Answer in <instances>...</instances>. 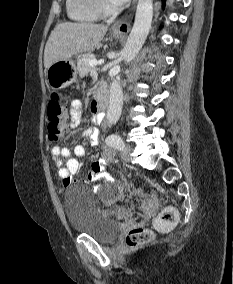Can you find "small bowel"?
I'll list each match as a JSON object with an SVG mask.
<instances>
[{"label":"small bowel","instance_id":"1","mask_svg":"<svg viewBox=\"0 0 233 284\" xmlns=\"http://www.w3.org/2000/svg\"><path fill=\"white\" fill-rule=\"evenodd\" d=\"M82 111L81 102L75 100L71 103L70 106V114L71 121L68 124V127H76L80 122V115ZM93 122L95 124H101L104 119V113L99 111L98 108L93 105ZM80 138L89 137L92 141L97 140L98 138V130L94 128H89L85 130ZM74 155L76 157H82L85 155L84 146L78 144L74 147ZM52 160L56 168L58 169V176L61 178L64 186H69L73 182H75V175L80 170L79 161L71 156V152L66 147L53 146L51 148ZM110 154L105 153L99 160L95 161L91 169L87 174V181L95 182V181H110V175L106 171L105 164L109 161Z\"/></svg>","mask_w":233,"mask_h":284}]
</instances>
